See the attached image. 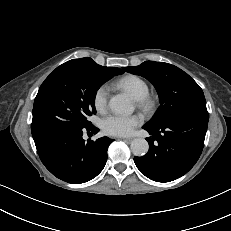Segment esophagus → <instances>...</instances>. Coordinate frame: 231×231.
<instances>
[{
    "label": "esophagus",
    "instance_id": "34e87169",
    "mask_svg": "<svg viewBox=\"0 0 231 231\" xmlns=\"http://www.w3.org/2000/svg\"><path fill=\"white\" fill-rule=\"evenodd\" d=\"M121 140L130 142L132 140V138H121Z\"/></svg>",
    "mask_w": 231,
    "mask_h": 231
}]
</instances>
